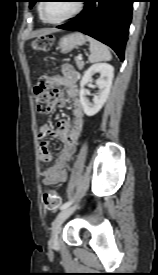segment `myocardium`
<instances>
[{"label":"myocardium","instance_id":"f54148a6","mask_svg":"<svg viewBox=\"0 0 158 275\" xmlns=\"http://www.w3.org/2000/svg\"><path fill=\"white\" fill-rule=\"evenodd\" d=\"M44 4L45 2L43 1L40 5H39V14H40V17L41 19L48 23V24H53V25H56V24H61L63 22H66L72 18H74L75 16H77L83 9V1L82 0H77L76 1V5H75V8L74 10L69 14L67 15L66 17L60 19V20H57V21H51L49 19H47L44 15Z\"/></svg>","mask_w":158,"mask_h":275}]
</instances>
